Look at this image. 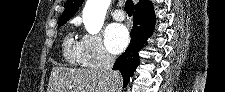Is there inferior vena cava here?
Masks as SVG:
<instances>
[{"instance_id": "1", "label": "inferior vena cava", "mask_w": 225, "mask_h": 92, "mask_svg": "<svg viewBox=\"0 0 225 92\" xmlns=\"http://www.w3.org/2000/svg\"><path fill=\"white\" fill-rule=\"evenodd\" d=\"M115 58L107 52H103L101 56L100 70L104 73L111 75L112 77L117 76V72L112 70Z\"/></svg>"}]
</instances>
